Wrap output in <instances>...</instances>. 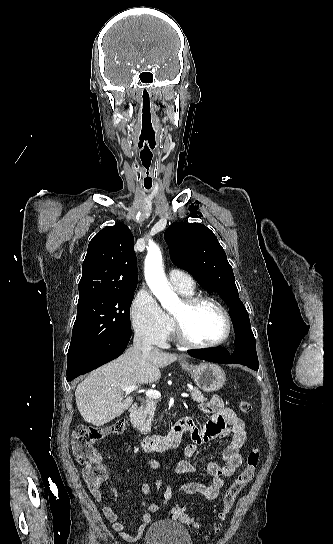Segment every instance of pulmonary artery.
<instances>
[{
	"mask_svg": "<svg viewBox=\"0 0 333 544\" xmlns=\"http://www.w3.org/2000/svg\"><path fill=\"white\" fill-rule=\"evenodd\" d=\"M170 284L178 291H191L194 288L192 277L179 269H172L168 274Z\"/></svg>",
	"mask_w": 333,
	"mask_h": 544,
	"instance_id": "1",
	"label": "pulmonary artery"
}]
</instances>
